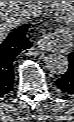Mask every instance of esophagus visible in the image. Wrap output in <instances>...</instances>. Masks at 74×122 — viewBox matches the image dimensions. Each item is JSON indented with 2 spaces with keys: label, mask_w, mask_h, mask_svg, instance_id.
Here are the masks:
<instances>
[{
  "label": "esophagus",
  "mask_w": 74,
  "mask_h": 122,
  "mask_svg": "<svg viewBox=\"0 0 74 122\" xmlns=\"http://www.w3.org/2000/svg\"><path fill=\"white\" fill-rule=\"evenodd\" d=\"M48 40L46 38H41L34 43V46L37 50H47L48 49Z\"/></svg>",
  "instance_id": "obj_1"
}]
</instances>
